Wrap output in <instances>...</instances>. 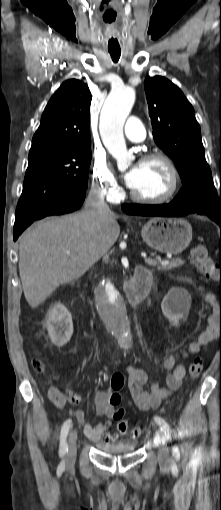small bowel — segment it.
<instances>
[{
    "label": "small bowel",
    "instance_id": "c3829d8e",
    "mask_svg": "<svg viewBox=\"0 0 221 510\" xmlns=\"http://www.w3.org/2000/svg\"><path fill=\"white\" fill-rule=\"evenodd\" d=\"M200 290L204 293L205 299L212 309V314L208 317L205 330L188 344L186 350L183 352L184 358L198 354L210 341L215 339L221 331L220 306L215 295L206 291L203 287H200ZM163 366L169 371L165 377V386L151 382L145 371L133 366L127 367V387L130 396L135 405L142 411L158 408L162 400L181 386L182 380L186 375L185 365L177 363L176 357L171 352H167ZM145 386H149V389H145ZM68 392L73 391L68 390ZM112 395L113 393L107 390H97L92 395V403L95 411L97 415L108 419L105 422L93 425L86 422V414L84 411L78 410L74 413L76 420L84 425L85 435L94 442H105L103 438L106 434L111 435L108 441H113L118 436L117 433L109 431L111 426L110 420L114 418L115 412L118 409L117 405L111 403L110 399ZM118 430L120 432L126 431Z\"/></svg>",
    "mask_w": 221,
    "mask_h": 510
}]
</instances>
